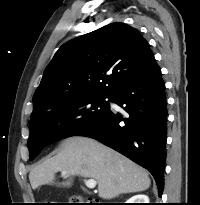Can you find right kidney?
I'll return each mask as SVG.
<instances>
[{"label": "right kidney", "instance_id": "right-kidney-1", "mask_svg": "<svg viewBox=\"0 0 200 205\" xmlns=\"http://www.w3.org/2000/svg\"><path fill=\"white\" fill-rule=\"evenodd\" d=\"M126 203H149V197L144 194L132 196Z\"/></svg>", "mask_w": 200, "mask_h": 205}]
</instances>
